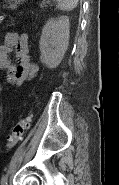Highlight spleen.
<instances>
[{
  "instance_id": "obj_1",
  "label": "spleen",
  "mask_w": 119,
  "mask_h": 185,
  "mask_svg": "<svg viewBox=\"0 0 119 185\" xmlns=\"http://www.w3.org/2000/svg\"><path fill=\"white\" fill-rule=\"evenodd\" d=\"M79 0H57L58 8L63 11H69L74 9Z\"/></svg>"
}]
</instances>
